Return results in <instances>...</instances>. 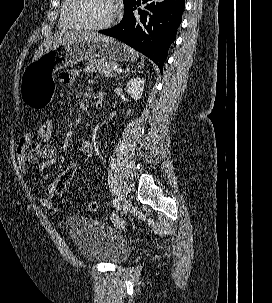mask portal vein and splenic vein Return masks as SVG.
<instances>
[{
    "label": "portal vein and splenic vein",
    "instance_id": "obj_1",
    "mask_svg": "<svg viewBox=\"0 0 272 303\" xmlns=\"http://www.w3.org/2000/svg\"><path fill=\"white\" fill-rule=\"evenodd\" d=\"M115 71H116L117 73H122V72H123V69H122V68H116Z\"/></svg>",
    "mask_w": 272,
    "mask_h": 303
}]
</instances>
